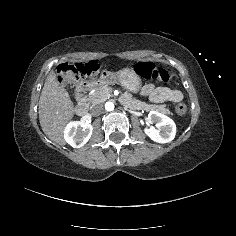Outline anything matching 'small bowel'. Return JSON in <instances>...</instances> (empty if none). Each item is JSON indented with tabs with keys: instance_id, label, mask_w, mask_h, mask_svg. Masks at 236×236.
Masks as SVG:
<instances>
[{
	"instance_id": "c3829d8e",
	"label": "small bowel",
	"mask_w": 236,
	"mask_h": 236,
	"mask_svg": "<svg viewBox=\"0 0 236 236\" xmlns=\"http://www.w3.org/2000/svg\"><path fill=\"white\" fill-rule=\"evenodd\" d=\"M142 94L148 96L152 102H179L183 99L181 91L172 90L166 87H155L154 84L145 85L142 89Z\"/></svg>"
}]
</instances>
